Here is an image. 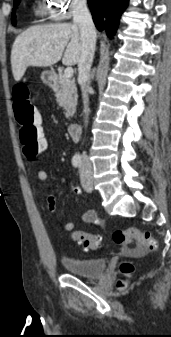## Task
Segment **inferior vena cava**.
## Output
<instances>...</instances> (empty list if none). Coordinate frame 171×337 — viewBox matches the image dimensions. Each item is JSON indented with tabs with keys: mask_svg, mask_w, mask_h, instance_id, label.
I'll use <instances>...</instances> for the list:
<instances>
[{
	"mask_svg": "<svg viewBox=\"0 0 171 337\" xmlns=\"http://www.w3.org/2000/svg\"><path fill=\"white\" fill-rule=\"evenodd\" d=\"M73 24L80 29L81 34V56L78 62V82L81 86L85 125L88 124V115L90 109L88 107V90L91 79V65L96 45V30L92 20V16L87 8L86 0H77L73 8ZM83 159L87 160L84 154Z\"/></svg>",
	"mask_w": 171,
	"mask_h": 337,
	"instance_id": "602c4592",
	"label": "inferior vena cava"
}]
</instances>
